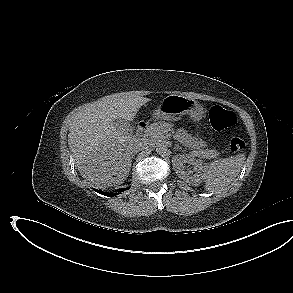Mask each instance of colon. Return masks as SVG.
Instances as JSON below:
<instances>
[{"mask_svg":"<svg viewBox=\"0 0 293 293\" xmlns=\"http://www.w3.org/2000/svg\"><path fill=\"white\" fill-rule=\"evenodd\" d=\"M209 119L212 127L217 131H224L233 127L237 122L234 112L226 110L219 105H214L209 111ZM245 142L239 137H233L229 141V150L233 153L242 151Z\"/></svg>","mask_w":293,"mask_h":293,"instance_id":"colon-1","label":"colon"}]
</instances>
